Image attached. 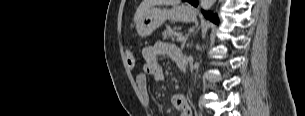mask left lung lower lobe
<instances>
[{"instance_id": "1", "label": "left lung lower lobe", "mask_w": 305, "mask_h": 116, "mask_svg": "<svg viewBox=\"0 0 305 116\" xmlns=\"http://www.w3.org/2000/svg\"><path fill=\"white\" fill-rule=\"evenodd\" d=\"M187 2H189L190 4L194 5V6H197V0H186ZM204 15L206 18H210L211 21L215 22V23H218V18H217V15H211V13H205L203 11Z\"/></svg>"}]
</instances>
